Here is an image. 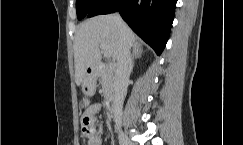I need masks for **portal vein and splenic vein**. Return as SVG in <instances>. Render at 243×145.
<instances>
[{
  "label": "portal vein and splenic vein",
  "instance_id": "1",
  "mask_svg": "<svg viewBox=\"0 0 243 145\" xmlns=\"http://www.w3.org/2000/svg\"><path fill=\"white\" fill-rule=\"evenodd\" d=\"M100 48L102 49L105 57H107V58L111 57V52L106 48V46L104 44H101Z\"/></svg>",
  "mask_w": 243,
  "mask_h": 145
}]
</instances>
